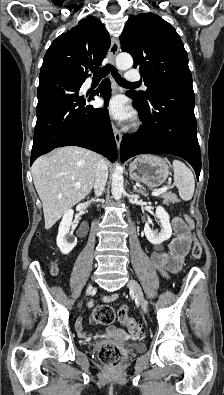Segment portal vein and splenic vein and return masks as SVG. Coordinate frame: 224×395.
Segmentation results:
<instances>
[{"label": "portal vein and splenic vein", "instance_id": "portal-vein-and-splenic-vein-1", "mask_svg": "<svg viewBox=\"0 0 224 395\" xmlns=\"http://www.w3.org/2000/svg\"><path fill=\"white\" fill-rule=\"evenodd\" d=\"M76 188H80V186H76ZM167 190H168L167 187H163V188H160V189H158V190L152 192V195H153V196H158V195H160V194L166 192Z\"/></svg>", "mask_w": 224, "mask_h": 395}]
</instances>
